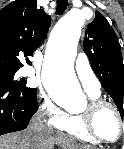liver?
I'll return each mask as SVG.
<instances>
[{"label":"liver","mask_w":124,"mask_h":149,"mask_svg":"<svg viewBox=\"0 0 124 149\" xmlns=\"http://www.w3.org/2000/svg\"><path fill=\"white\" fill-rule=\"evenodd\" d=\"M53 145V138L45 131L38 133V137H33L28 131L0 137V149H50ZM81 149L91 148L84 146Z\"/></svg>","instance_id":"6515ba94"}]
</instances>
